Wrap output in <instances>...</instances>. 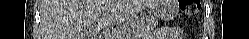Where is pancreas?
<instances>
[{"mask_svg":"<svg viewBox=\"0 0 249 39\" xmlns=\"http://www.w3.org/2000/svg\"><path fill=\"white\" fill-rule=\"evenodd\" d=\"M158 25V20L152 17H139L130 20L124 25V30L122 36H127L128 34H134V36H146L150 34L154 28ZM130 29H132L130 31ZM117 39H122L123 37H116Z\"/></svg>","mask_w":249,"mask_h":39,"instance_id":"cf45deb5","label":"pancreas"}]
</instances>
